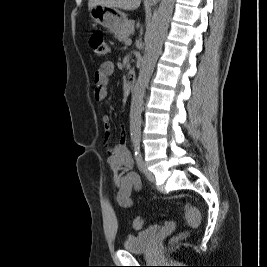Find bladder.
I'll return each mask as SVG.
<instances>
[{
	"instance_id": "1",
	"label": "bladder",
	"mask_w": 267,
	"mask_h": 267,
	"mask_svg": "<svg viewBox=\"0 0 267 267\" xmlns=\"http://www.w3.org/2000/svg\"><path fill=\"white\" fill-rule=\"evenodd\" d=\"M160 226L154 225L126 237L123 248L132 253L146 252L155 241Z\"/></svg>"
}]
</instances>
